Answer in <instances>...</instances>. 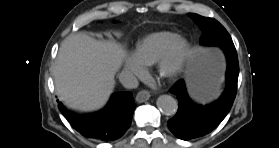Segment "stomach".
<instances>
[{
  "label": "stomach",
  "mask_w": 279,
  "mask_h": 148,
  "mask_svg": "<svg viewBox=\"0 0 279 148\" xmlns=\"http://www.w3.org/2000/svg\"><path fill=\"white\" fill-rule=\"evenodd\" d=\"M220 71L221 63L217 56L193 51L188 62L192 94L203 101L213 96L218 87Z\"/></svg>",
  "instance_id": "stomach-1"
}]
</instances>
